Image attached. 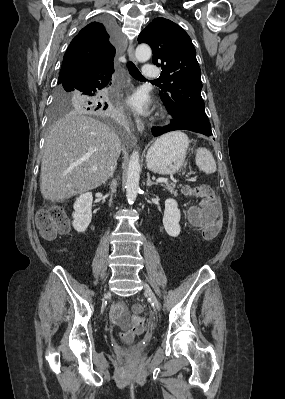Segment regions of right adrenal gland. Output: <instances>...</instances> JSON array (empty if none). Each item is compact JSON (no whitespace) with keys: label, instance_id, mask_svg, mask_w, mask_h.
Here are the masks:
<instances>
[{"label":"right adrenal gland","instance_id":"1","mask_svg":"<svg viewBox=\"0 0 285 399\" xmlns=\"http://www.w3.org/2000/svg\"><path fill=\"white\" fill-rule=\"evenodd\" d=\"M115 170H116V166H114V167L110 170V173H109L107 179L113 178V175H114V171H115Z\"/></svg>","mask_w":285,"mask_h":399}]
</instances>
